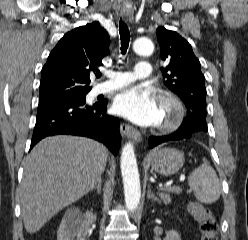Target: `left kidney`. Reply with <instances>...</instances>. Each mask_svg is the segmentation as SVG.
Instances as JSON below:
<instances>
[{
  "label": "left kidney",
  "instance_id": "5707ae66",
  "mask_svg": "<svg viewBox=\"0 0 248 240\" xmlns=\"http://www.w3.org/2000/svg\"><path fill=\"white\" fill-rule=\"evenodd\" d=\"M163 240H181V237L178 232L170 230Z\"/></svg>",
  "mask_w": 248,
  "mask_h": 240
}]
</instances>
